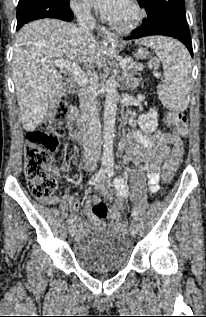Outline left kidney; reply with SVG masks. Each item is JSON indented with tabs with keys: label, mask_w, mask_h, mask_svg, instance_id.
Instances as JSON below:
<instances>
[{
	"label": "left kidney",
	"mask_w": 206,
	"mask_h": 317,
	"mask_svg": "<svg viewBox=\"0 0 206 317\" xmlns=\"http://www.w3.org/2000/svg\"><path fill=\"white\" fill-rule=\"evenodd\" d=\"M138 125L145 133H152L158 127V113L155 109H150L147 114H142L138 118Z\"/></svg>",
	"instance_id": "obj_1"
}]
</instances>
